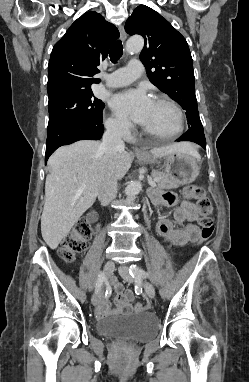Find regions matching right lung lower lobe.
I'll list each match as a JSON object with an SVG mask.
<instances>
[{
    "label": "right lung lower lobe",
    "instance_id": "obj_1",
    "mask_svg": "<svg viewBox=\"0 0 249 382\" xmlns=\"http://www.w3.org/2000/svg\"><path fill=\"white\" fill-rule=\"evenodd\" d=\"M103 132L102 118L95 122H71L48 130L45 162L58 147L78 140H99Z\"/></svg>",
    "mask_w": 249,
    "mask_h": 382
}]
</instances>
